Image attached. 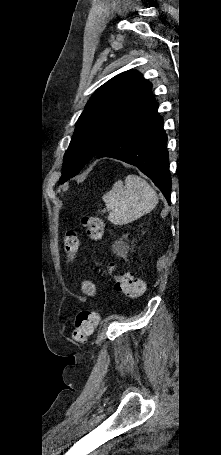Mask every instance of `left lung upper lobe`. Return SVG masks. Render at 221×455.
<instances>
[{
  "mask_svg": "<svg viewBox=\"0 0 221 455\" xmlns=\"http://www.w3.org/2000/svg\"><path fill=\"white\" fill-rule=\"evenodd\" d=\"M151 89L139 72L129 70L95 91L76 123L60 183L77 175L110 140L157 105Z\"/></svg>",
  "mask_w": 221,
  "mask_h": 455,
  "instance_id": "1",
  "label": "left lung upper lobe"
}]
</instances>
